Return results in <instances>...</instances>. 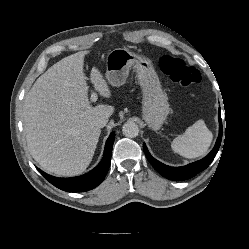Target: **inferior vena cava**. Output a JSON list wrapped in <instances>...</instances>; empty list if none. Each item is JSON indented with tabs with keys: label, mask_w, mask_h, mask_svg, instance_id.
<instances>
[{
	"label": "inferior vena cava",
	"mask_w": 249,
	"mask_h": 249,
	"mask_svg": "<svg viewBox=\"0 0 249 249\" xmlns=\"http://www.w3.org/2000/svg\"><path fill=\"white\" fill-rule=\"evenodd\" d=\"M108 122L107 117H100L99 119L96 120V126L99 128H103Z\"/></svg>",
	"instance_id": "602c4592"
}]
</instances>
